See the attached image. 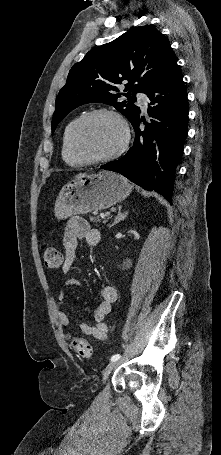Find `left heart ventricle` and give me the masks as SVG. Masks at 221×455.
<instances>
[{
	"instance_id": "left-heart-ventricle-1",
	"label": "left heart ventricle",
	"mask_w": 221,
	"mask_h": 455,
	"mask_svg": "<svg viewBox=\"0 0 221 455\" xmlns=\"http://www.w3.org/2000/svg\"><path fill=\"white\" fill-rule=\"evenodd\" d=\"M123 141L120 123L112 116L99 115L87 120L79 133V145L89 157H102L115 151Z\"/></svg>"
}]
</instances>
